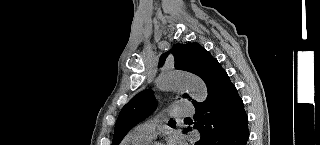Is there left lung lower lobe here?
Here are the masks:
<instances>
[{
  "instance_id": "0a47b994",
  "label": "left lung lower lobe",
  "mask_w": 320,
  "mask_h": 145,
  "mask_svg": "<svg viewBox=\"0 0 320 145\" xmlns=\"http://www.w3.org/2000/svg\"><path fill=\"white\" fill-rule=\"evenodd\" d=\"M208 90L204 102L195 106L194 129L200 139L194 145H246L248 117L242 99L227 73L214 59L200 76ZM187 128L184 132L190 131Z\"/></svg>"
}]
</instances>
